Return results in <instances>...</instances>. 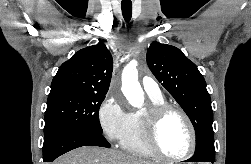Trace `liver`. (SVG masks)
<instances>
[{
  "mask_svg": "<svg viewBox=\"0 0 251 164\" xmlns=\"http://www.w3.org/2000/svg\"><path fill=\"white\" fill-rule=\"evenodd\" d=\"M53 164H155L121 151L85 146L58 158Z\"/></svg>",
  "mask_w": 251,
  "mask_h": 164,
  "instance_id": "1",
  "label": "liver"
}]
</instances>
